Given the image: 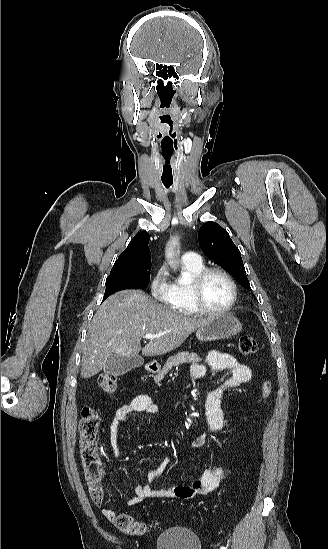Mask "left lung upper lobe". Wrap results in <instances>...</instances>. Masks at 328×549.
Returning a JSON list of instances; mask_svg holds the SVG:
<instances>
[{
  "label": "left lung upper lobe",
  "mask_w": 328,
  "mask_h": 549,
  "mask_svg": "<svg viewBox=\"0 0 328 549\" xmlns=\"http://www.w3.org/2000/svg\"><path fill=\"white\" fill-rule=\"evenodd\" d=\"M199 244L206 256L235 276L244 287L251 289L240 251L224 228L208 221L200 229Z\"/></svg>",
  "instance_id": "obj_1"
}]
</instances>
